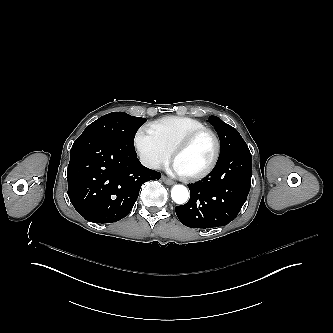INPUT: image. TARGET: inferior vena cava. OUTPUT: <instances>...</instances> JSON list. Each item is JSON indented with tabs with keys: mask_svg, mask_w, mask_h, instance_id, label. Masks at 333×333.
Returning <instances> with one entry per match:
<instances>
[{
	"mask_svg": "<svg viewBox=\"0 0 333 333\" xmlns=\"http://www.w3.org/2000/svg\"><path fill=\"white\" fill-rule=\"evenodd\" d=\"M143 164L149 168H153V169H158L160 167L159 163L157 162H149V161H145V159L143 158L142 160Z\"/></svg>",
	"mask_w": 333,
	"mask_h": 333,
	"instance_id": "602c4592",
	"label": "inferior vena cava"
}]
</instances>
